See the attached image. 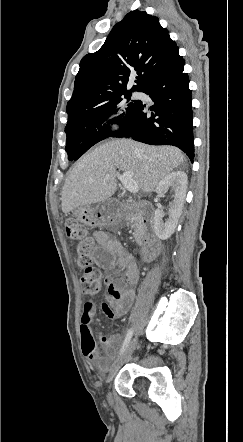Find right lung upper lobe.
I'll use <instances>...</instances> for the list:
<instances>
[{
    "instance_id": "right-lung-upper-lobe-1",
    "label": "right lung upper lobe",
    "mask_w": 243,
    "mask_h": 442,
    "mask_svg": "<svg viewBox=\"0 0 243 442\" xmlns=\"http://www.w3.org/2000/svg\"><path fill=\"white\" fill-rule=\"evenodd\" d=\"M178 50L157 17L129 12L109 33L103 46L85 55L67 103L68 118L88 111L114 96L139 91L152 73ZM137 74L131 90L129 80Z\"/></svg>"
}]
</instances>
